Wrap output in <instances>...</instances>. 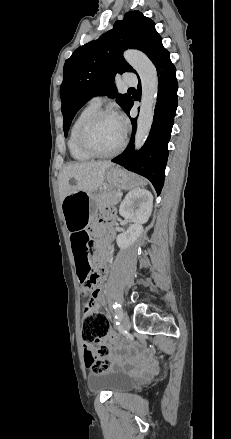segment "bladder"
Segmentation results:
<instances>
[{"instance_id":"obj_1","label":"bladder","mask_w":231,"mask_h":439,"mask_svg":"<svg viewBox=\"0 0 231 439\" xmlns=\"http://www.w3.org/2000/svg\"><path fill=\"white\" fill-rule=\"evenodd\" d=\"M88 380L93 390H105L112 394L129 390L137 383L131 375L116 370L92 373L89 375Z\"/></svg>"}]
</instances>
